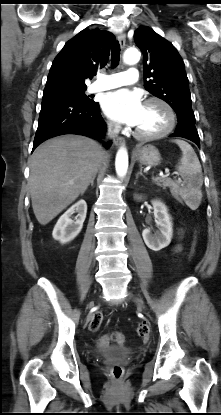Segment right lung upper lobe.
I'll list each match as a JSON object with an SVG mask.
<instances>
[{
  "label": "right lung upper lobe",
  "instance_id": "obj_1",
  "mask_svg": "<svg viewBox=\"0 0 221 415\" xmlns=\"http://www.w3.org/2000/svg\"><path fill=\"white\" fill-rule=\"evenodd\" d=\"M114 35L99 29H84L69 40L54 59L43 95L86 88L85 79L103 68Z\"/></svg>",
  "mask_w": 221,
  "mask_h": 415
}]
</instances>
